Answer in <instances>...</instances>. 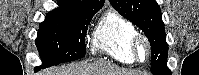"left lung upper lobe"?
Segmentation results:
<instances>
[{
  "label": "left lung upper lobe",
  "mask_w": 199,
  "mask_h": 75,
  "mask_svg": "<svg viewBox=\"0 0 199 75\" xmlns=\"http://www.w3.org/2000/svg\"><path fill=\"white\" fill-rule=\"evenodd\" d=\"M126 19L138 26L151 45V72L171 73L167 67L168 44L162 14L155 0H109Z\"/></svg>",
  "instance_id": "obj_1"
}]
</instances>
